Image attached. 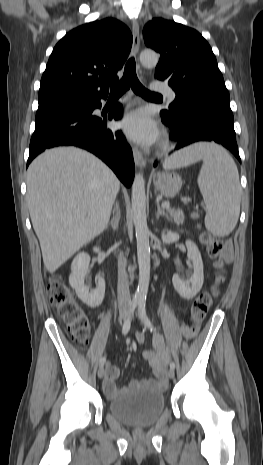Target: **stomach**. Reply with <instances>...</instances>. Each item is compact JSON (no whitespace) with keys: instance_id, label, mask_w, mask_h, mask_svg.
Here are the masks:
<instances>
[{"instance_id":"1","label":"stomach","mask_w":263,"mask_h":465,"mask_svg":"<svg viewBox=\"0 0 263 465\" xmlns=\"http://www.w3.org/2000/svg\"><path fill=\"white\" fill-rule=\"evenodd\" d=\"M155 189L167 198H173L180 191L182 180L179 175L171 172L155 173L153 175Z\"/></svg>"}]
</instances>
